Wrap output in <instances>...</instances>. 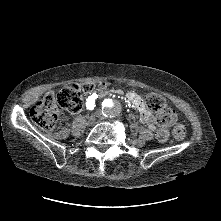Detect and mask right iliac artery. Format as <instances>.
I'll list each match as a JSON object with an SVG mask.
<instances>
[{
	"instance_id": "obj_1",
	"label": "right iliac artery",
	"mask_w": 221,
	"mask_h": 221,
	"mask_svg": "<svg viewBox=\"0 0 221 221\" xmlns=\"http://www.w3.org/2000/svg\"><path fill=\"white\" fill-rule=\"evenodd\" d=\"M98 97V95H96L93 99H87V109L89 110H93L95 107V99Z\"/></svg>"
}]
</instances>
